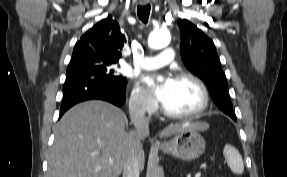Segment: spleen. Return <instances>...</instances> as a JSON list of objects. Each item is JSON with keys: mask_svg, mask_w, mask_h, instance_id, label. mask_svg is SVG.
<instances>
[{"mask_svg": "<svg viewBox=\"0 0 287 177\" xmlns=\"http://www.w3.org/2000/svg\"><path fill=\"white\" fill-rule=\"evenodd\" d=\"M223 153L231 171L235 174H242L244 172V164L239 151L234 146L226 144Z\"/></svg>", "mask_w": 287, "mask_h": 177, "instance_id": "spleen-1", "label": "spleen"}]
</instances>
